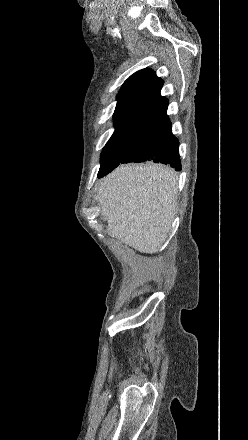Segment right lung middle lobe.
Returning <instances> with one entry per match:
<instances>
[{
  "label": "right lung middle lobe",
  "mask_w": 248,
  "mask_h": 440,
  "mask_svg": "<svg viewBox=\"0 0 248 440\" xmlns=\"http://www.w3.org/2000/svg\"><path fill=\"white\" fill-rule=\"evenodd\" d=\"M132 132L133 131H124L118 135L112 136L107 142L101 153V166L98 178L108 174L121 163L128 137Z\"/></svg>",
  "instance_id": "right-lung-middle-lobe-1"
}]
</instances>
